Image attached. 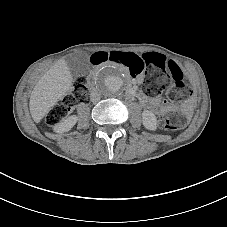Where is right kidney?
Instances as JSON below:
<instances>
[{
  "label": "right kidney",
  "instance_id": "right-kidney-1",
  "mask_svg": "<svg viewBox=\"0 0 227 227\" xmlns=\"http://www.w3.org/2000/svg\"><path fill=\"white\" fill-rule=\"evenodd\" d=\"M76 122H77V117L72 116L66 119L65 121L59 123L56 127H54V130L58 133L67 132L71 129L72 126L75 125Z\"/></svg>",
  "mask_w": 227,
  "mask_h": 227
}]
</instances>
